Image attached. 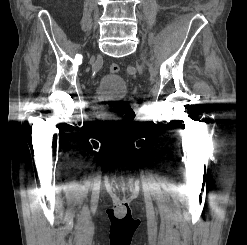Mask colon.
Instances as JSON below:
<instances>
[{
    "instance_id": "obj_1",
    "label": "colon",
    "mask_w": 247,
    "mask_h": 245,
    "mask_svg": "<svg viewBox=\"0 0 247 245\" xmlns=\"http://www.w3.org/2000/svg\"><path fill=\"white\" fill-rule=\"evenodd\" d=\"M119 70H120V67L116 63H112L109 66V71L112 74H117L119 72ZM117 115H118V121L120 122V124L122 126H127L129 121L132 119L133 112L128 108L122 107V108L118 109Z\"/></svg>"
}]
</instances>
